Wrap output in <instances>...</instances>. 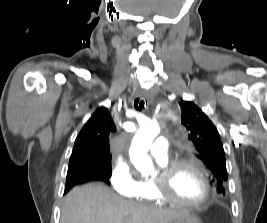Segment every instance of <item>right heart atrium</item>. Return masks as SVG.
I'll return each mask as SVG.
<instances>
[{"instance_id":"obj_1","label":"right heart atrium","mask_w":267,"mask_h":223,"mask_svg":"<svg viewBox=\"0 0 267 223\" xmlns=\"http://www.w3.org/2000/svg\"><path fill=\"white\" fill-rule=\"evenodd\" d=\"M110 183L113 190L121 195H134L138 181L127 161H119L112 169Z\"/></svg>"}]
</instances>
